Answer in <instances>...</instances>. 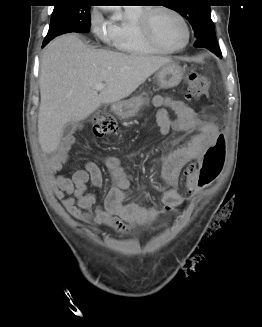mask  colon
<instances>
[{"label": "colon", "instance_id": "obj_1", "mask_svg": "<svg viewBox=\"0 0 262 327\" xmlns=\"http://www.w3.org/2000/svg\"><path fill=\"white\" fill-rule=\"evenodd\" d=\"M187 96L189 99L204 98L208 94L209 79L197 72L191 71L186 78ZM116 130L115 120L107 110H100L93 118V132L98 137L112 134ZM225 160V141L219 136L215 143L207 148L199 162L194 177L196 189L201 190L209 186L220 173ZM195 194L192 193L187 198V202H192ZM178 206L168 208V211L176 210Z\"/></svg>", "mask_w": 262, "mask_h": 327}]
</instances>
